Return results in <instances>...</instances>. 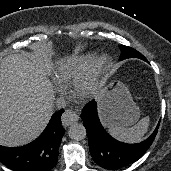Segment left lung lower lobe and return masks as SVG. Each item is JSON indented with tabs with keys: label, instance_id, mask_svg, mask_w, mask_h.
<instances>
[{
	"label": "left lung lower lobe",
	"instance_id": "1",
	"mask_svg": "<svg viewBox=\"0 0 171 171\" xmlns=\"http://www.w3.org/2000/svg\"><path fill=\"white\" fill-rule=\"evenodd\" d=\"M81 117L89 138L90 153L94 161L108 170H118L141 158L154 141L160 122L152 135L138 144H126L113 139L102 127L96 103H90Z\"/></svg>",
	"mask_w": 171,
	"mask_h": 171
}]
</instances>
